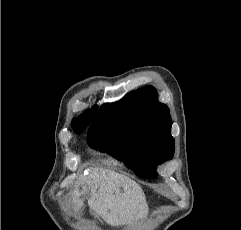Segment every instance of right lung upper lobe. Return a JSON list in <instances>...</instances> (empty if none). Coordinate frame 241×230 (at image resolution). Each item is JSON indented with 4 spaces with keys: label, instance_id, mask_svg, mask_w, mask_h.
Masks as SVG:
<instances>
[{
    "label": "right lung upper lobe",
    "instance_id": "obj_1",
    "mask_svg": "<svg viewBox=\"0 0 241 230\" xmlns=\"http://www.w3.org/2000/svg\"><path fill=\"white\" fill-rule=\"evenodd\" d=\"M98 107L93 106L91 109L86 110L82 115L78 118H74L72 120V127L75 132L83 131L88 124H90L96 116Z\"/></svg>",
    "mask_w": 241,
    "mask_h": 230
}]
</instances>
